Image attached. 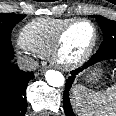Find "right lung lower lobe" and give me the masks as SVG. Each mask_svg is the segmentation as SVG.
I'll return each mask as SVG.
<instances>
[{"label": "right lung lower lobe", "mask_w": 116, "mask_h": 116, "mask_svg": "<svg viewBox=\"0 0 116 116\" xmlns=\"http://www.w3.org/2000/svg\"><path fill=\"white\" fill-rule=\"evenodd\" d=\"M13 57L11 48L0 60V116H24L27 110L26 87L34 74L20 70Z\"/></svg>", "instance_id": "1"}]
</instances>
